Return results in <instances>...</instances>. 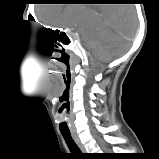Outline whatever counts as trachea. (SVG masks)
<instances>
[{"label":"trachea","mask_w":159,"mask_h":159,"mask_svg":"<svg viewBox=\"0 0 159 159\" xmlns=\"http://www.w3.org/2000/svg\"><path fill=\"white\" fill-rule=\"evenodd\" d=\"M69 150L71 151L72 154L78 155L81 154V150L79 149V147L77 146V144L75 143V141L73 140L72 136L70 133H61Z\"/></svg>","instance_id":"1"}]
</instances>
